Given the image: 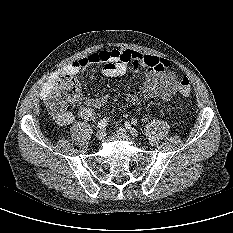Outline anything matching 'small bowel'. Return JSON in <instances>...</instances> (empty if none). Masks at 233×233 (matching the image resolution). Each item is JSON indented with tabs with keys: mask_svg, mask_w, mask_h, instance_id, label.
I'll use <instances>...</instances> for the list:
<instances>
[{
	"mask_svg": "<svg viewBox=\"0 0 233 233\" xmlns=\"http://www.w3.org/2000/svg\"><path fill=\"white\" fill-rule=\"evenodd\" d=\"M92 64L103 65V74L107 77L122 76L128 69L143 70L144 85L142 93L131 91L128 95V101L133 105H138L141 98H158L161 101H168L178 91L177 75L169 60L132 50H101L63 66L58 71V76L64 78L76 75ZM58 82L47 83L41 91V98L50 107L57 123L69 125L74 121L75 115L65 110L55 111L51 107L52 94ZM108 99L109 94L95 98L85 97L80 94L76 101L82 103L83 106L78 109L77 116L86 120L92 119L94 117L93 109L103 106Z\"/></svg>",
	"mask_w": 233,
	"mask_h": 233,
	"instance_id": "obj_1",
	"label": "small bowel"
}]
</instances>
